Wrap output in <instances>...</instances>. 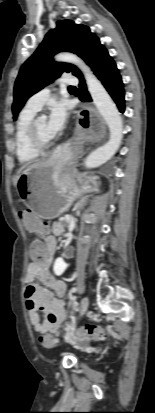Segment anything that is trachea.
<instances>
[{"instance_id":"1","label":"trachea","mask_w":155,"mask_h":413,"mask_svg":"<svg viewBox=\"0 0 155 413\" xmlns=\"http://www.w3.org/2000/svg\"><path fill=\"white\" fill-rule=\"evenodd\" d=\"M71 89H75V87H70Z\"/></svg>"}]
</instances>
